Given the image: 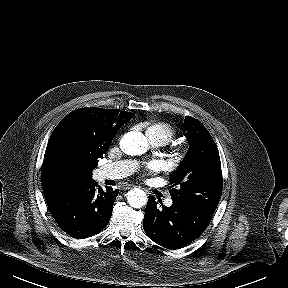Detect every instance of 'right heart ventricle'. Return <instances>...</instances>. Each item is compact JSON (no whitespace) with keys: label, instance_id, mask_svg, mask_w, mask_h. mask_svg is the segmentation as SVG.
<instances>
[{"label":"right heart ventricle","instance_id":"e07e8e85","mask_svg":"<svg viewBox=\"0 0 288 288\" xmlns=\"http://www.w3.org/2000/svg\"><path fill=\"white\" fill-rule=\"evenodd\" d=\"M146 134L149 139H160L167 143L176 136L177 130L170 123L160 121L151 123L146 129Z\"/></svg>","mask_w":288,"mask_h":288}]
</instances>
